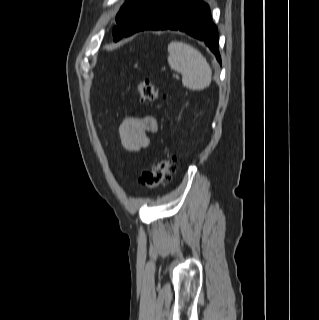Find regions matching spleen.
Wrapping results in <instances>:
<instances>
[{"instance_id":"1","label":"spleen","mask_w":319,"mask_h":320,"mask_svg":"<svg viewBox=\"0 0 319 320\" xmlns=\"http://www.w3.org/2000/svg\"><path fill=\"white\" fill-rule=\"evenodd\" d=\"M168 63L181 73L183 85L190 90H203L210 85L211 69L205 57L194 47L180 41L168 45Z\"/></svg>"}]
</instances>
